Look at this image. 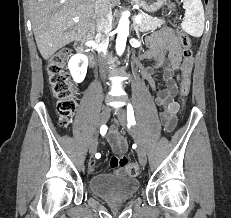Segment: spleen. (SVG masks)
<instances>
[{
    "instance_id": "spleen-1",
    "label": "spleen",
    "mask_w": 231,
    "mask_h": 218,
    "mask_svg": "<svg viewBox=\"0 0 231 218\" xmlns=\"http://www.w3.org/2000/svg\"><path fill=\"white\" fill-rule=\"evenodd\" d=\"M185 17L181 26L191 36L200 37L204 30V9L201 0H183Z\"/></svg>"
}]
</instances>
